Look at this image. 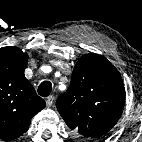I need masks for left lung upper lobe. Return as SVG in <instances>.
Here are the masks:
<instances>
[{
  "label": "left lung upper lobe",
  "mask_w": 142,
  "mask_h": 142,
  "mask_svg": "<svg viewBox=\"0 0 142 142\" xmlns=\"http://www.w3.org/2000/svg\"><path fill=\"white\" fill-rule=\"evenodd\" d=\"M124 104L125 88L119 72L105 57L94 53L77 61L68 90L56 101L67 126L84 139L108 133Z\"/></svg>",
  "instance_id": "obj_1"
}]
</instances>
